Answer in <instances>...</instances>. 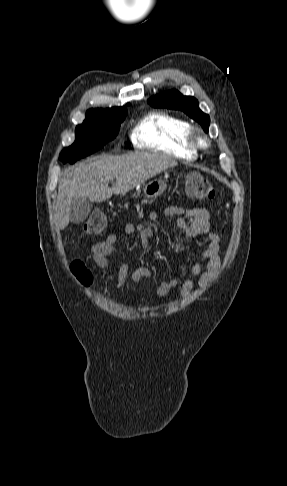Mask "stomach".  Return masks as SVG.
I'll list each match as a JSON object with an SVG mask.
<instances>
[{"label": "stomach", "mask_w": 287, "mask_h": 486, "mask_svg": "<svg viewBox=\"0 0 287 486\" xmlns=\"http://www.w3.org/2000/svg\"><path fill=\"white\" fill-rule=\"evenodd\" d=\"M166 183L162 180H153L145 185L143 193L147 199H155L166 190Z\"/></svg>", "instance_id": "stomach-1"}]
</instances>
